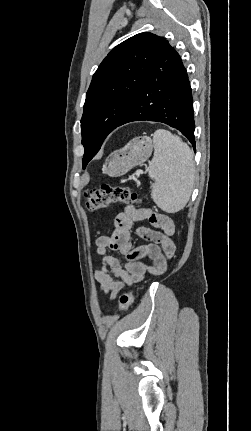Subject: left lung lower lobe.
I'll use <instances>...</instances> for the list:
<instances>
[{"mask_svg": "<svg viewBox=\"0 0 251 431\" xmlns=\"http://www.w3.org/2000/svg\"><path fill=\"white\" fill-rule=\"evenodd\" d=\"M193 113V99L186 69L179 54L166 41L118 126L142 120L162 122L179 130L195 150ZM96 131L101 132L102 127Z\"/></svg>", "mask_w": 251, "mask_h": 431, "instance_id": "0a47b994", "label": "left lung lower lobe"}]
</instances>
